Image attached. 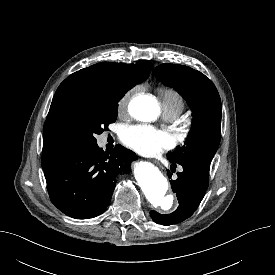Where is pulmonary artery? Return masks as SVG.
I'll use <instances>...</instances> for the list:
<instances>
[{
	"label": "pulmonary artery",
	"instance_id": "pulmonary-artery-1",
	"mask_svg": "<svg viewBox=\"0 0 275 275\" xmlns=\"http://www.w3.org/2000/svg\"><path fill=\"white\" fill-rule=\"evenodd\" d=\"M180 112L175 109H166L163 108L164 118L168 121H173L179 116Z\"/></svg>",
	"mask_w": 275,
	"mask_h": 275
}]
</instances>
